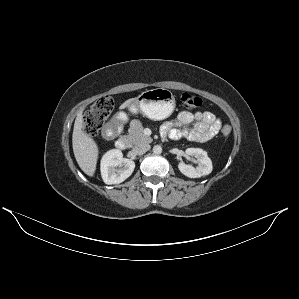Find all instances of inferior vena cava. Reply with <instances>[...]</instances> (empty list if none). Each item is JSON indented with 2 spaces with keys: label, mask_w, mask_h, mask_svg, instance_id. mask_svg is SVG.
<instances>
[{
  "label": "inferior vena cava",
  "mask_w": 299,
  "mask_h": 299,
  "mask_svg": "<svg viewBox=\"0 0 299 299\" xmlns=\"http://www.w3.org/2000/svg\"><path fill=\"white\" fill-rule=\"evenodd\" d=\"M150 149L149 144H138L133 148V152L136 155H142Z\"/></svg>",
  "instance_id": "obj_1"
}]
</instances>
